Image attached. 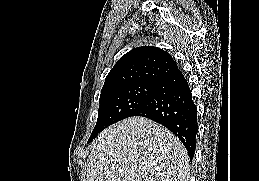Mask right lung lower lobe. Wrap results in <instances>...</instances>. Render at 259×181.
<instances>
[{"label":"right lung lower lobe","instance_id":"1","mask_svg":"<svg viewBox=\"0 0 259 181\" xmlns=\"http://www.w3.org/2000/svg\"><path fill=\"white\" fill-rule=\"evenodd\" d=\"M132 116L146 117L168 128L181 140L192 159L198 129L197 111L188 82L179 69L158 83L153 95Z\"/></svg>","mask_w":259,"mask_h":181}]
</instances>
